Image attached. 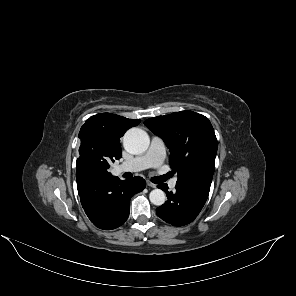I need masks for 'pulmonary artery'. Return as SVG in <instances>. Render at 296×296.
I'll return each instance as SVG.
<instances>
[{"mask_svg": "<svg viewBox=\"0 0 296 296\" xmlns=\"http://www.w3.org/2000/svg\"><path fill=\"white\" fill-rule=\"evenodd\" d=\"M166 148L163 140L158 136H152L148 151L141 156L135 157L116 167V173L137 172L147 168H155L160 166L165 158ZM176 178L169 182V187L176 186Z\"/></svg>", "mask_w": 296, "mask_h": 296, "instance_id": "pulmonary-artery-1", "label": "pulmonary artery"}]
</instances>
